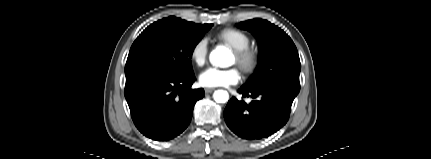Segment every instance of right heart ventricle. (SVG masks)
Instances as JSON below:
<instances>
[{"mask_svg": "<svg viewBox=\"0 0 431 159\" xmlns=\"http://www.w3.org/2000/svg\"><path fill=\"white\" fill-rule=\"evenodd\" d=\"M216 37L233 50L246 48L250 44L249 36L245 32L235 28L223 29L217 33Z\"/></svg>", "mask_w": 431, "mask_h": 159, "instance_id": "right-heart-ventricle-1", "label": "right heart ventricle"}]
</instances>
